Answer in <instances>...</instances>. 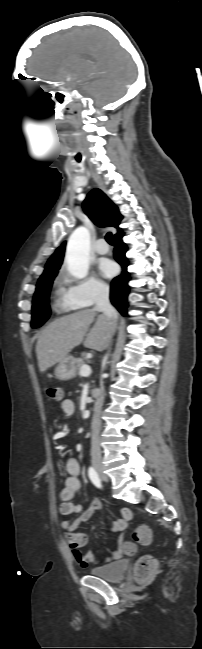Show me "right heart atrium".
<instances>
[{
	"label": "right heart atrium",
	"mask_w": 202,
	"mask_h": 649,
	"mask_svg": "<svg viewBox=\"0 0 202 649\" xmlns=\"http://www.w3.org/2000/svg\"><path fill=\"white\" fill-rule=\"evenodd\" d=\"M63 281L66 287L60 297V304L67 310L90 307L108 294V285L92 276L75 279L64 275Z\"/></svg>",
	"instance_id": "d8ad5b80"
}]
</instances>
